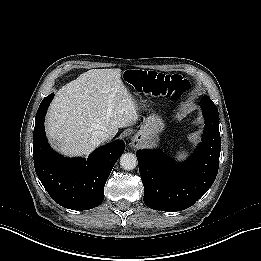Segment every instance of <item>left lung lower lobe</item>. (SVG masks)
I'll return each mask as SVG.
<instances>
[{
    "mask_svg": "<svg viewBox=\"0 0 261 261\" xmlns=\"http://www.w3.org/2000/svg\"><path fill=\"white\" fill-rule=\"evenodd\" d=\"M205 128L201 144L185 164H175L158 150L136 153L144 185V203L174 212L192 206L212 186L219 167L221 138L216 105L203 96Z\"/></svg>",
    "mask_w": 261,
    "mask_h": 261,
    "instance_id": "obj_1",
    "label": "left lung lower lobe"
}]
</instances>
